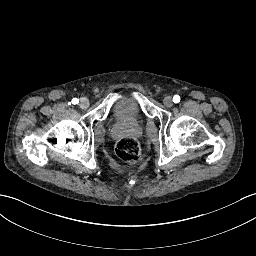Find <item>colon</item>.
I'll list each match as a JSON object with an SVG mask.
<instances>
[{
  "label": "colon",
  "instance_id": "colon-1",
  "mask_svg": "<svg viewBox=\"0 0 256 256\" xmlns=\"http://www.w3.org/2000/svg\"><path fill=\"white\" fill-rule=\"evenodd\" d=\"M116 153L122 161L129 165L137 163L141 158L139 145L137 141L131 137H122L118 141Z\"/></svg>",
  "mask_w": 256,
  "mask_h": 256
}]
</instances>
